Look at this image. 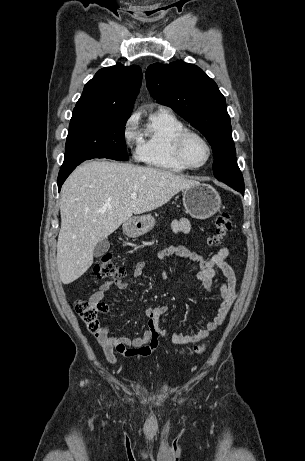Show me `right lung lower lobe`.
<instances>
[{
  "instance_id": "right-lung-lower-lobe-1",
  "label": "right lung lower lobe",
  "mask_w": 305,
  "mask_h": 461,
  "mask_svg": "<svg viewBox=\"0 0 305 461\" xmlns=\"http://www.w3.org/2000/svg\"><path fill=\"white\" fill-rule=\"evenodd\" d=\"M80 163L74 164L69 167H61L59 175H58V189L60 191L63 182L69 176V174L78 166Z\"/></svg>"
}]
</instances>
